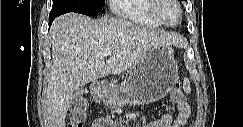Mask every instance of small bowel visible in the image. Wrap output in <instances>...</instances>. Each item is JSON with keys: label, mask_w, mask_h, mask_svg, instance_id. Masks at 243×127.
Listing matches in <instances>:
<instances>
[{"label": "small bowel", "mask_w": 243, "mask_h": 127, "mask_svg": "<svg viewBox=\"0 0 243 127\" xmlns=\"http://www.w3.org/2000/svg\"><path fill=\"white\" fill-rule=\"evenodd\" d=\"M178 114L177 117L173 120L172 115L163 111L157 118H153L147 124V127H182L184 126L191 114V109L189 104L184 101L177 103ZM122 125L115 121H110L106 119L95 120L92 124V127H121Z\"/></svg>", "instance_id": "small-bowel-1"}]
</instances>
